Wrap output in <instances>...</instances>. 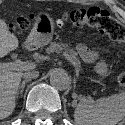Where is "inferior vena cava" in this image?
Here are the masks:
<instances>
[{
	"label": "inferior vena cava",
	"instance_id": "inferior-vena-cava-1",
	"mask_svg": "<svg viewBox=\"0 0 125 125\" xmlns=\"http://www.w3.org/2000/svg\"><path fill=\"white\" fill-rule=\"evenodd\" d=\"M38 76H39L38 71H28L23 74V78H25L26 80H31L33 78H37Z\"/></svg>",
	"mask_w": 125,
	"mask_h": 125
}]
</instances>
